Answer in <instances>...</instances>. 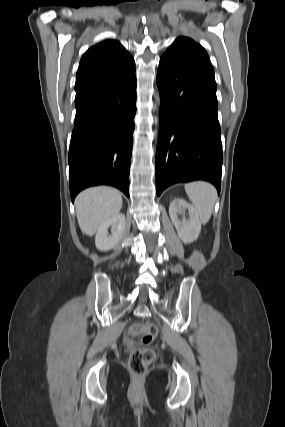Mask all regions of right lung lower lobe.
Segmentation results:
<instances>
[{"label":"right lung lower lobe","instance_id":"obj_1","mask_svg":"<svg viewBox=\"0 0 285 427\" xmlns=\"http://www.w3.org/2000/svg\"><path fill=\"white\" fill-rule=\"evenodd\" d=\"M75 126L68 156L70 194L112 185L129 196L136 113V77L131 74L75 98Z\"/></svg>","mask_w":285,"mask_h":427}]
</instances>
